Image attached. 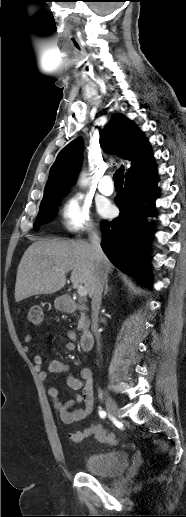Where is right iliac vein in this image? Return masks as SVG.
Masks as SVG:
<instances>
[{"mask_svg": "<svg viewBox=\"0 0 186 517\" xmlns=\"http://www.w3.org/2000/svg\"><path fill=\"white\" fill-rule=\"evenodd\" d=\"M105 404H106V409H107L108 413L112 417L118 418L119 410H118V406H117V403L115 402V400L112 397L106 395Z\"/></svg>", "mask_w": 186, "mask_h": 517, "instance_id": "right-iliac-vein-1", "label": "right iliac vein"}]
</instances>
